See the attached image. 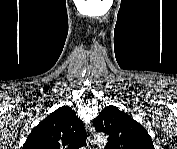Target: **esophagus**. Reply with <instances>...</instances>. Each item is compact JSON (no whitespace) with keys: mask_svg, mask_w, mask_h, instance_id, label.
<instances>
[{"mask_svg":"<svg viewBox=\"0 0 177 149\" xmlns=\"http://www.w3.org/2000/svg\"><path fill=\"white\" fill-rule=\"evenodd\" d=\"M92 130L93 129L91 128L90 131L92 132ZM93 146H94L93 140L90 137H88V139H87V147H88V149H92Z\"/></svg>","mask_w":177,"mask_h":149,"instance_id":"obj_1","label":"esophagus"}]
</instances>
